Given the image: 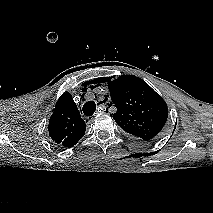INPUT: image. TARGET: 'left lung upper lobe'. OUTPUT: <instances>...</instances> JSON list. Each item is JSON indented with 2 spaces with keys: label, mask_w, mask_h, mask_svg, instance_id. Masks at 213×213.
Segmentation results:
<instances>
[{
  "label": "left lung upper lobe",
  "mask_w": 213,
  "mask_h": 213,
  "mask_svg": "<svg viewBox=\"0 0 213 213\" xmlns=\"http://www.w3.org/2000/svg\"><path fill=\"white\" fill-rule=\"evenodd\" d=\"M111 104L117 108L115 122L130 136L139 141H150L164 127L168 107L145 81L134 75H123L115 80L106 78ZM106 99V97H105ZM108 100V98L106 99Z\"/></svg>",
  "instance_id": "obj_1"
}]
</instances>
